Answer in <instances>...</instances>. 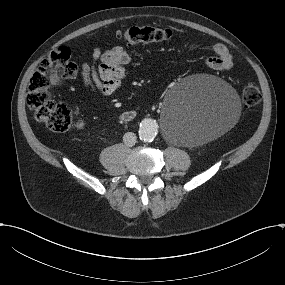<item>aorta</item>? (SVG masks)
I'll return each mask as SVG.
<instances>
[{
  "instance_id": "762f6f07",
  "label": "aorta",
  "mask_w": 285,
  "mask_h": 285,
  "mask_svg": "<svg viewBox=\"0 0 285 285\" xmlns=\"http://www.w3.org/2000/svg\"><path fill=\"white\" fill-rule=\"evenodd\" d=\"M139 138L144 142H152L158 132V124L155 120L145 119L140 124Z\"/></svg>"
}]
</instances>
